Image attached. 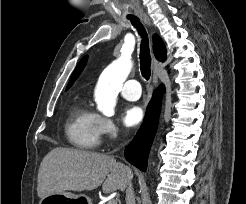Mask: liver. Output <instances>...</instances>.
I'll return each instance as SVG.
<instances>
[{
    "label": "liver",
    "mask_w": 246,
    "mask_h": 204,
    "mask_svg": "<svg viewBox=\"0 0 246 204\" xmlns=\"http://www.w3.org/2000/svg\"><path fill=\"white\" fill-rule=\"evenodd\" d=\"M133 173L109 155L57 147L42 160L37 193L42 199L55 193L90 191L102 185L104 193L124 191Z\"/></svg>",
    "instance_id": "obj_1"
}]
</instances>
